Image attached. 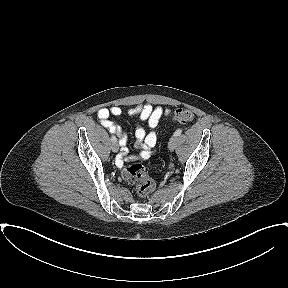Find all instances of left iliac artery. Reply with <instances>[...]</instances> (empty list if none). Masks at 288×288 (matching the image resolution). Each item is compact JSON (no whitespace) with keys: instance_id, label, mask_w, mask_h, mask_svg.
I'll return each mask as SVG.
<instances>
[{"instance_id":"obj_1","label":"left iliac artery","mask_w":288,"mask_h":288,"mask_svg":"<svg viewBox=\"0 0 288 288\" xmlns=\"http://www.w3.org/2000/svg\"><path fill=\"white\" fill-rule=\"evenodd\" d=\"M182 133V129H177L174 133V136H179Z\"/></svg>"}]
</instances>
